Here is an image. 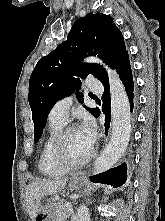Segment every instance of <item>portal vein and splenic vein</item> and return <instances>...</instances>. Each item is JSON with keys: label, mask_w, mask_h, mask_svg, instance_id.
<instances>
[{"label": "portal vein and splenic vein", "mask_w": 165, "mask_h": 221, "mask_svg": "<svg viewBox=\"0 0 165 221\" xmlns=\"http://www.w3.org/2000/svg\"><path fill=\"white\" fill-rule=\"evenodd\" d=\"M66 206L69 207V208L72 207L71 203H69V202H66Z\"/></svg>", "instance_id": "obj_1"}]
</instances>
